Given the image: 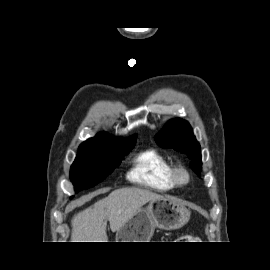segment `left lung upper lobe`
<instances>
[{
	"instance_id": "obj_1",
	"label": "left lung upper lobe",
	"mask_w": 270,
	"mask_h": 270,
	"mask_svg": "<svg viewBox=\"0 0 270 270\" xmlns=\"http://www.w3.org/2000/svg\"><path fill=\"white\" fill-rule=\"evenodd\" d=\"M156 142L163 148H173L174 150L187 154L193 162L191 167L196 173L201 171L200 145L193 135L189 123L183 119L169 121L165 128L156 136Z\"/></svg>"
}]
</instances>
